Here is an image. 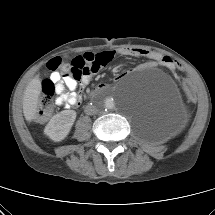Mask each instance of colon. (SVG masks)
Returning a JSON list of instances; mask_svg holds the SVG:
<instances>
[{
	"label": "colon",
	"instance_id": "obj_1",
	"mask_svg": "<svg viewBox=\"0 0 215 215\" xmlns=\"http://www.w3.org/2000/svg\"><path fill=\"white\" fill-rule=\"evenodd\" d=\"M47 68L52 72L59 71L63 76L71 77L72 75L79 79L83 73L84 64L78 56L73 61L63 63L60 57H55L48 61ZM180 88L186 92L185 101L189 105H194L198 101L199 92L193 86L189 78H184L180 82ZM55 95V82L52 79H46L42 84V93L39 99L37 118L45 120L51 114Z\"/></svg>",
	"mask_w": 215,
	"mask_h": 215
}]
</instances>
